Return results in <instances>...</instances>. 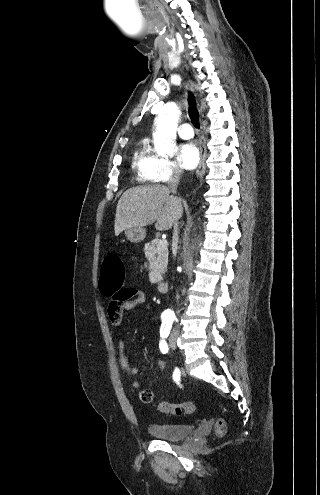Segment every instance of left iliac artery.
<instances>
[{
	"instance_id": "obj_1",
	"label": "left iliac artery",
	"mask_w": 320,
	"mask_h": 495,
	"mask_svg": "<svg viewBox=\"0 0 320 495\" xmlns=\"http://www.w3.org/2000/svg\"><path fill=\"white\" fill-rule=\"evenodd\" d=\"M171 326H172V321L168 320L166 322H163L161 325V328H160L161 340L159 343V348L163 354L168 352V345L165 341V338L168 337L170 330H171Z\"/></svg>"
}]
</instances>
